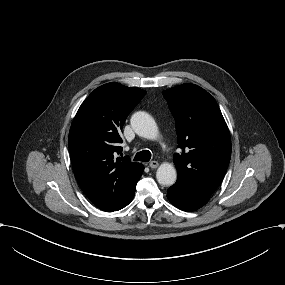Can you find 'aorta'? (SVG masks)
<instances>
[{
    "mask_svg": "<svg viewBox=\"0 0 285 285\" xmlns=\"http://www.w3.org/2000/svg\"><path fill=\"white\" fill-rule=\"evenodd\" d=\"M130 122L137 135L150 140L158 138L157 124L148 113L143 111L136 112L132 115ZM156 178L158 183L163 186L173 185L177 179L175 167L170 163H162L157 169Z\"/></svg>",
    "mask_w": 285,
    "mask_h": 285,
    "instance_id": "aorta-1",
    "label": "aorta"
}]
</instances>
